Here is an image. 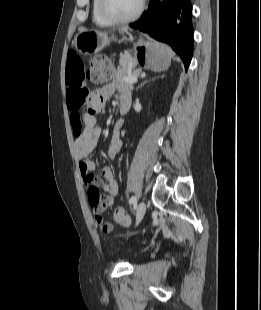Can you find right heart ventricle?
<instances>
[{
	"mask_svg": "<svg viewBox=\"0 0 261 310\" xmlns=\"http://www.w3.org/2000/svg\"><path fill=\"white\" fill-rule=\"evenodd\" d=\"M92 19L93 22L99 27H110L112 23L105 20L98 11L97 0L92 2Z\"/></svg>",
	"mask_w": 261,
	"mask_h": 310,
	"instance_id": "1",
	"label": "right heart ventricle"
}]
</instances>
